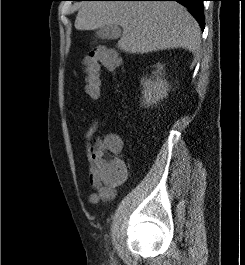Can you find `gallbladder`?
Listing matches in <instances>:
<instances>
[{
    "label": "gallbladder",
    "instance_id": "1",
    "mask_svg": "<svg viewBox=\"0 0 245 265\" xmlns=\"http://www.w3.org/2000/svg\"><path fill=\"white\" fill-rule=\"evenodd\" d=\"M96 36L102 40H117L121 36V29L117 25L103 26L96 31Z\"/></svg>",
    "mask_w": 245,
    "mask_h": 265
}]
</instances>
